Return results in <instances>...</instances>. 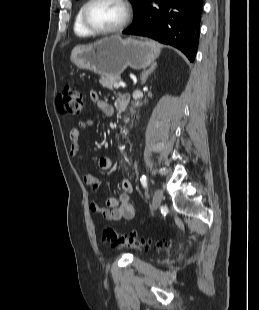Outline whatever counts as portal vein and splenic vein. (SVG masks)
Instances as JSON below:
<instances>
[{"mask_svg": "<svg viewBox=\"0 0 259 310\" xmlns=\"http://www.w3.org/2000/svg\"><path fill=\"white\" fill-rule=\"evenodd\" d=\"M121 86H123V83H121V82L115 83V84H114V87H115L116 89L120 88Z\"/></svg>", "mask_w": 259, "mask_h": 310, "instance_id": "obj_1", "label": "portal vein and splenic vein"}]
</instances>
